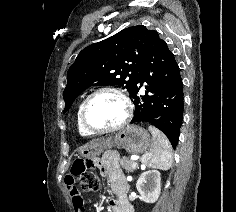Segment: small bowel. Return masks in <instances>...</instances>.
Returning <instances> with one entry per match:
<instances>
[{
    "label": "small bowel",
    "instance_id": "obj_1",
    "mask_svg": "<svg viewBox=\"0 0 236 212\" xmlns=\"http://www.w3.org/2000/svg\"><path fill=\"white\" fill-rule=\"evenodd\" d=\"M100 166L103 175L109 179L112 186V197L110 199L112 212H134L133 206L127 200L128 184L121 169L115 162L111 161L110 156L103 157ZM65 184L71 197L74 212H85L83 197L75 186V184H80V179L78 175L73 173V170L71 175L66 176Z\"/></svg>",
    "mask_w": 236,
    "mask_h": 212
}]
</instances>
